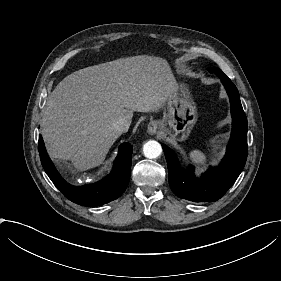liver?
<instances>
[{
  "label": "liver",
  "mask_w": 281,
  "mask_h": 281,
  "mask_svg": "<svg viewBox=\"0 0 281 281\" xmlns=\"http://www.w3.org/2000/svg\"><path fill=\"white\" fill-rule=\"evenodd\" d=\"M179 90L168 62L139 55L89 66L66 76L52 91L41 134L52 159L78 170L103 163L133 112H157Z\"/></svg>",
  "instance_id": "6515ba94"
}]
</instances>
